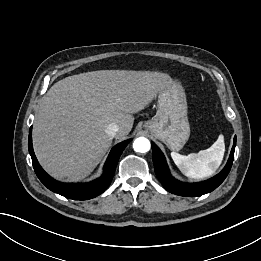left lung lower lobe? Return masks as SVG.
Segmentation results:
<instances>
[{"mask_svg":"<svg viewBox=\"0 0 261 261\" xmlns=\"http://www.w3.org/2000/svg\"><path fill=\"white\" fill-rule=\"evenodd\" d=\"M152 150H153V163L155 173L162 183L163 187L176 195L186 196V197H197L209 193L216 189L227 177L230 172L233 159H234V151L236 146V136L234 137L233 147L228 159V162L224 169L214 176L213 178L203 181L200 183H183L176 179H174L169 172L166 160L160 149L152 142Z\"/></svg>","mask_w":261,"mask_h":261,"instance_id":"left-lung-lower-lobe-1","label":"left lung lower lobe"}]
</instances>
